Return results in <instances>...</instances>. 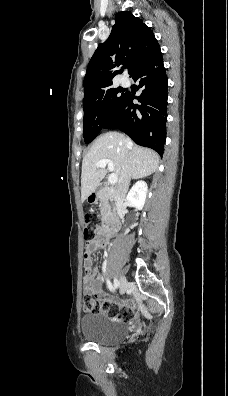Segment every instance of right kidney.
Returning a JSON list of instances; mask_svg holds the SVG:
<instances>
[{"mask_svg": "<svg viewBox=\"0 0 228 396\" xmlns=\"http://www.w3.org/2000/svg\"><path fill=\"white\" fill-rule=\"evenodd\" d=\"M148 186L145 181H138L127 194L128 204L137 210H142L145 204Z\"/></svg>", "mask_w": 228, "mask_h": 396, "instance_id": "right-kidney-1", "label": "right kidney"}]
</instances>
